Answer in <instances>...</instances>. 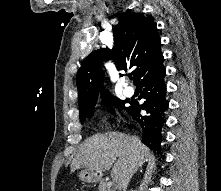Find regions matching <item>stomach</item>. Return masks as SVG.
<instances>
[{
  "label": "stomach",
  "mask_w": 221,
  "mask_h": 191,
  "mask_svg": "<svg viewBox=\"0 0 221 191\" xmlns=\"http://www.w3.org/2000/svg\"><path fill=\"white\" fill-rule=\"evenodd\" d=\"M102 177V173L95 171V170H91V169H83L80 173H79V178L80 180L87 182V183H96L99 182L101 180Z\"/></svg>",
  "instance_id": "stomach-1"
}]
</instances>
